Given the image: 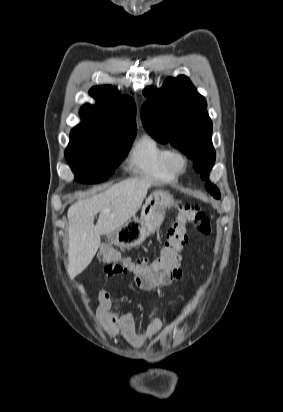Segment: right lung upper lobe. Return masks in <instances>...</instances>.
<instances>
[{"mask_svg":"<svg viewBox=\"0 0 283 412\" xmlns=\"http://www.w3.org/2000/svg\"><path fill=\"white\" fill-rule=\"evenodd\" d=\"M97 104H86L79 112L82 123L76 126L81 133L93 136H119L136 133V105L129 96H120L110 85L90 90Z\"/></svg>","mask_w":283,"mask_h":412,"instance_id":"right-lung-upper-lobe-1","label":"right lung upper lobe"}]
</instances>
